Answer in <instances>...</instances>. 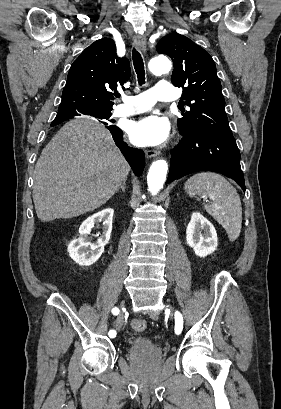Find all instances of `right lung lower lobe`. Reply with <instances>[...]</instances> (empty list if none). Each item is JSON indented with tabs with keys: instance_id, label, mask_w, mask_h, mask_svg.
Instances as JSON below:
<instances>
[{
	"instance_id": "right-lung-lower-lobe-1",
	"label": "right lung lower lobe",
	"mask_w": 281,
	"mask_h": 409,
	"mask_svg": "<svg viewBox=\"0 0 281 409\" xmlns=\"http://www.w3.org/2000/svg\"><path fill=\"white\" fill-rule=\"evenodd\" d=\"M80 113L86 115L97 116V112L93 111H79L74 112L72 110L58 111L55 119H70L74 116L80 115ZM113 139L116 145L119 147L126 160L133 169L135 175L140 176L145 165V155L142 150L128 147V145L123 141V132L116 126H109Z\"/></svg>"
}]
</instances>
